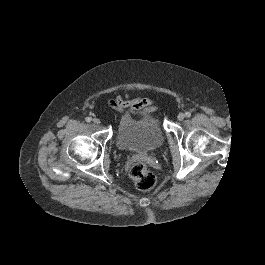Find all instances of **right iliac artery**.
I'll use <instances>...</instances> for the list:
<instances>
[{"mask_svg": "<svg viewBox=\"0 0 265 265\" xmlns=\"http://www.w3.org/2000/svg\"><path fill=\"white\" fill-rule=\"evenodd\" d=\"M85 120H86V122H91L92 118L91 117H86Z\"/></svg>", "mask_w": 265, "mask_h": 265, "instance_id": "82829eb1", "label": "right iliac artery"}]
</instances>
